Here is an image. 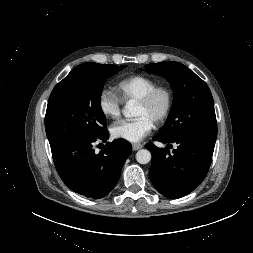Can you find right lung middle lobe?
Instances as JSON below:
<instances>
[{
  "mask_svg": "<svg viewBox=\"0 0 253 253\" xmlns=\"http://www.w3.org/2000/svg\"><path fill=\"white\" fill-rule=\"evenodd\" d=\"M125 65L82 64L53 89L46 110L45 129L50 145L73 138L102 134L106 117L100 98L107 78Z\"/></svg>",
  "mask_w": 253,
  "mask_h": 253,
  "instance_id": "1",
  "label": "right lung middle lobe"
}]
</instances>
